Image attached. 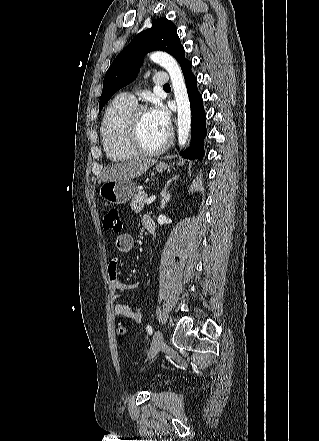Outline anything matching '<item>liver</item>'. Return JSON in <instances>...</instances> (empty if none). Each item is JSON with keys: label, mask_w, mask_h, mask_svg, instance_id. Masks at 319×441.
Segmentation results:
<instances>
[{"label": "liver", "mask_w": 319, "mask_h": 441, "mask_svg": "<svg viewBox=\"0 0 319 441\" xmlns=\"http://www.w3.org/2000/svg\"><path fill=\"white\" fill-rule=\"evenodd\" d=\"M156 162L155 159H138L112 164L103 170L100 182L137 178L145 173Z\"/></svg>", "instance_id": "6515ba94"}]
</instances>
